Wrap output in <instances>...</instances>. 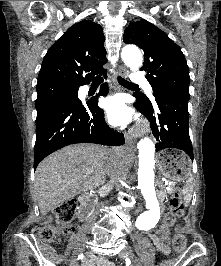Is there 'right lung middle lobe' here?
<instances>
[{
    "mask_svg": "<svg viewBox=\"0 0 221 266\" xmlns=\"http://www.w3.org/2000/svg\"><path fill=\"white\" fill-rule=\"evenodd\" d=\"M77 87H68L63 85H46L37 87V99L35 106L37 112L42 111L48 105L65 100V99H78Z\"/></svg>",
    "mask_w": 221,
    "mask_h": 266,
    "instance_id": "right-lung-middle-lobe-1",
    "label": "right lung middle lobe"
}]
</instances>
